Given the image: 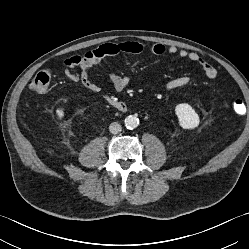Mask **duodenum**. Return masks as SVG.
Returning a JSON list of instances; mask_svg holds the SVG:
<instances>
[{"label":"duodenum","mask_w":249,"mask_h":249,"mask_svg":"<svg viewBox=\"0 0 249 249\" xmlns=\"http://www.w3.org/2000/svg\"><path fill=\"white\" fill-rule=\"evenodd\" d=\"M105 98L117 110H119L121 112H124L127 110V106L123 101L118 100V99L111 97V96H106Z\"/></svg>","instance_id":"duodenum-1"}]
</instances>
